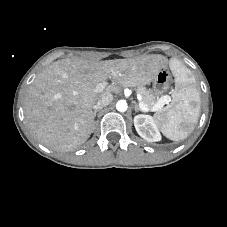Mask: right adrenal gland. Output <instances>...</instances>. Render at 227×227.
<instances>
[{"instance_id": "obj_1", "label": "right adrenal gland", "mask_w": 227, "mask_h": 227, "mask_svg": "<svg viewBox=\"0 0 227 227\" xmlns=\"http://www.w3.org/2000/svg\"><path fill=\"white\" fill-rule=\"evenodd\" d=\"M97 112H98V110H95V111L93 112V117H94V118L96 117Z\"/></svg>"}]
</instances>
